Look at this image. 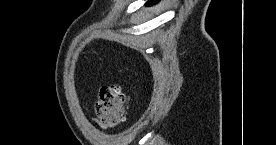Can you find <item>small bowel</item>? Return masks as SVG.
Masks as SVG:
<instances>
[{
  "label": "small bowel",
  "mask_w": 276,
  "mask_h": 145,
  "mask_svg": "<svg viewBox=\"0 0 276 145\" xmlns=\"http://www.w3.org/2000/svg\"><path fill=\"white\" fill-rule=\"evenodd\" d=\"M89 120L93 122L94 124L98 125L101 129L105 130L106 128L94 117H89Z\"/></svg>",
  "instance_id": "c3829d8e"
}]
</instances>
